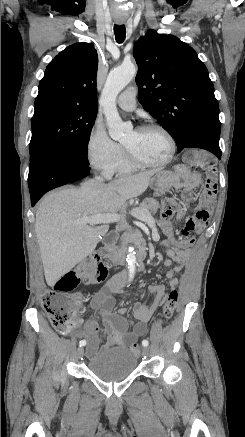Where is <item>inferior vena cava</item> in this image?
<instances>
[{
  "instance_id": "1",
  "label": "inferior vena cava",
  "mask_w": 245,
  "mask_h": 437,
  "mask_svg": "<svg viewBox=\"0 0 245 437\" xmlns=\"http://www.w3.org/2000/svg\"><path fill=\"white\" fill-rule=\"evenodd\" d=\"M95 181L102 184L103 183V179L99 176H95Z\"/></svg>"
}]
</instances>
